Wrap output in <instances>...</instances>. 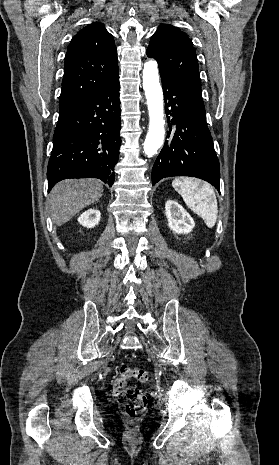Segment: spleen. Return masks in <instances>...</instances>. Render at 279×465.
<instances>
[{
	"label": "spleen",
	"instance_id": "obj_1",
	"mask_svg": "<svg viewBox=\"0 0 279 465\" xmlns=\"http://www.w3.org/2000/svg\"><path fill=\"white\" fill-rule=\"evenodd\" d=\"M172 186L187 206L203 218L207 227L212 228L215 225L218 215L217 199L214 189L208 183L180 177L172 181Z\"/></svg>",
	"mask_w": 279,
	"mask_h": 465
}]
</instances>
